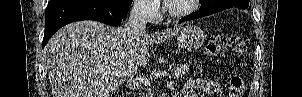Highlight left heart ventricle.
Here are the masks:
<instances>
[{"label":"left heart ventricle","instance_id":"obj_1","mask_svg":"<svg viewBox=\"0 0 302 97\" xmlns=\"http://www.w3.org/2000/svg\"><path fill=\"white\" fill-rule=\"evenodd\" d=\"M190 0H170L169 4L175 11L187 8L190 5Z\"/></svg>","mask_w":302,"mask_h":97}]
</instances>
